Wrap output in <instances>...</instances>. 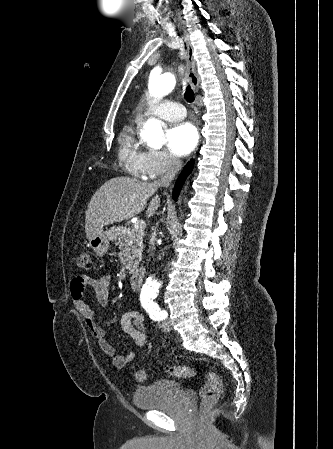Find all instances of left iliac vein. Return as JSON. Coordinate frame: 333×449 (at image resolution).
Returning a JSON list of instances; mask_svg holds the SVG:
<instances>
[{"label":"left iliac vein","instance_id":"1","mask_svg":"<svg viewBox=\"0 0 333 449\" xmlns=\"http://www.w3.org/2000/svg\"><path fill=\"white\" fill-rule=\"evenodd\" d=\"M160 328H161V330L164 331V332H169L170 329H171L170 322L167 321V320H164V321L160 324Z\"/></svg>","mask_w":333,"mask_h":449}]
</instances>
